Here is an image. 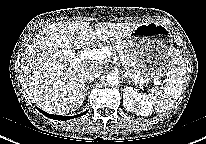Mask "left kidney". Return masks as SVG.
Returning a JSON list of instances; mask_svg holds the SVG:
<instances>
[{"label": "left kidney", "mask_w": 206, "mask_h": 144, "mask_svg": "<svg viewBox=\"0 0 206 144\" xmlns=\"http://www.w3.org/2000/svg\"><path fill=\"white\" fill-rule=\"evenodd\" d=\"M134 103H138L137 109L134 108ZM123 106L127 111H134L138 116H150L153 109L147 95L138 93L133 87L123 89Z\"/></svg>", "instance_id": "obj_1"}]
</instances>
